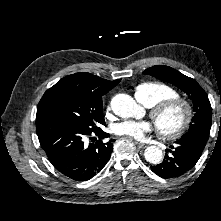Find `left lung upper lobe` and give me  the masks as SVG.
Instances as JSON below:
<instances>
[{"instance_id":"left-lung-upper-lobe-1","label":"left lung upper lobe","mask_w":221,"mask_h":221,"mask_svg":"<svg viewBox=\"0 0 221 221\" xmlns=\"http://www.w3.org/2000/svg\"><path fill=\"white\" fill-rule=\"evenodd\" d=\"M143 73L173 84L191 98L195 115L190 123L189 131L185 135L198 131L210 132L212 124L211 104L206 92L194 79L169 66L162 65L148 68Z\"/></svg>"}]
</instances>
